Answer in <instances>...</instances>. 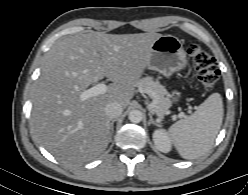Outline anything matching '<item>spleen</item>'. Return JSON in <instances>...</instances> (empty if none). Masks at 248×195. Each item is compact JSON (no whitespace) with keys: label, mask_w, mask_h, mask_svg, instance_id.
<instances>
[{"label":"spleen","mask_w":248,"mask_h":195,"mask_svg":"<svg viewBox=\"0 0 248 195\" xmlns=\"http://www.w3.org/2000/svg\"><path fill=\"white\" fill-rule=\"evenodd\" d=\"M223 114L221 95L213 93L190 117L174 123L168 134L180 156L195 159L207 153L220 130Z\"/></svg>","instance_id":"obj_1"}]
</instances>
